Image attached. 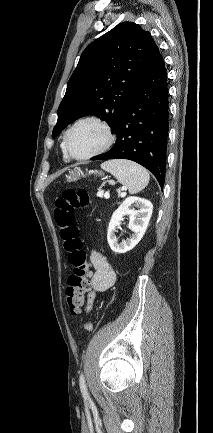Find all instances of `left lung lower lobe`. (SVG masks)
<instances>
[{
  "instance_id": "obj_1",
  "label": "left lung lower lobe",
  "mask_w": 213,
  "mask_h": 433,
  "mask_svg": "<svg viewBox=\"0 0 213 433\" xmlns=\"http://www.w3.org/2000/svg\"><path fill=\"white\" fill-rule=\"evenodd\" d=\"M168 88L159 53L125 106L114 132L115 145L91 160L128 159L150 170L161 188L165 181L168 134Z\"/></svg>"
}]
</instances>
